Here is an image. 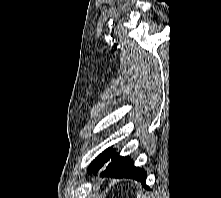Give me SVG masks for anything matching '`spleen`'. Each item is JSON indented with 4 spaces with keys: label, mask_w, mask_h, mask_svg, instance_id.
<instances>
[{
    "label": "spleen",
    "mask_w": 221,
    "mask_h": 198,
    "mask_svg": "<svg viewBox=\"0 0 221 198\" xmlns=\"http://www.w3.org/2000/svg\"><path fill=\"white\" fill-rule=\"evenodd\" d=\"M137 198H144L140 193H137Z\"/></svg>",
    "instance_id": "3e777b00"
}]
</instances>
